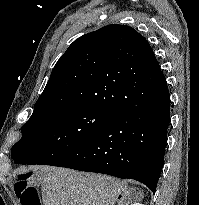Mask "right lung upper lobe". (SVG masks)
I'll list each match as a JSON object with an SVG mask.
<instances>
[{
  "instance_id": "1",
  "label": "right lung upper lobe",
  "mask_w": 199,
  "mask_h": 205,
  "mask_svg": "<svg viewBox=\"0 0 199 205\" xmlns=\"http://www.w3.org/2000/svg\"><path fill=\"white\" fill-rule=\"evenodd\" d=\"M148 41L125 25H108L76 39L54 66L34 110L88 105L113 113L132 106L161 74Z\"/></svg>"
}]
</instances>
